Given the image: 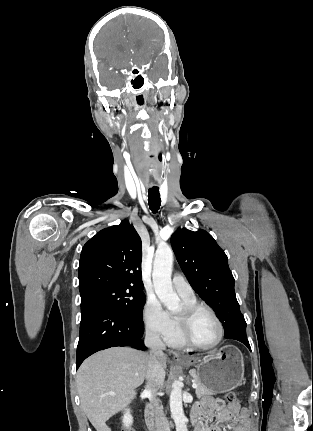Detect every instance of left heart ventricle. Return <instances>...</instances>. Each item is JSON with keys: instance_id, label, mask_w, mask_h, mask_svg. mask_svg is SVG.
<instances>
[{"instance_id": "obj_1", "label": "left heart ventricle", "mask_w": 313, "mask_h": 431, "mask_svg": "<svg viewBox=\"0 0 313 431\" xmlns=\"http://www.w3.org/2000/svg\"><path fill=\"white\" fill-rule=\"evenodd\" d=\"M189 333L195 343L210 345L217 340L219 330L213 317L208 312L201 311L193 318Z\"/></svg>"}]
</instances>
